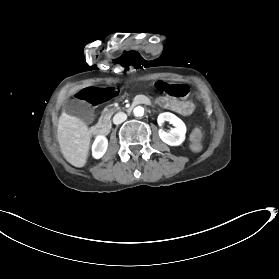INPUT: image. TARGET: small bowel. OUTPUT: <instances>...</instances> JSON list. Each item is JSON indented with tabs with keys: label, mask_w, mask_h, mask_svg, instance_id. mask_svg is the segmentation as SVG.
Masks as SVG:
<instances>
[{
	"label": "small bowel",
	"mask_w": 279,
	"mask_h": 279,
	"mask_svg": "<svg viewBox=\"0 0 279 279\" xmlns=\"http://www.w3.org/2000/svg\"><path fill=\"white\" fill-rule=\"evenodd\" d=\"M156 88L172 98L183 99L189 95L190 88L186 83L159 80L155 84Z\"/></svg>",
	"instance_id": "obj_1"
}]
</instances>
